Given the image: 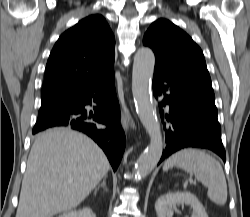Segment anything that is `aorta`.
I'll return each mask as SVG.
<instances>
[{
    "label": "aorta",
    "mask_w": 250,
    "mask_h": 217,
    "mask_svg": "<svg viewBox=\"0 0 250 217\" xmlns=\"http://www.w3.org/2000/svg\"><path fill=\"white\" fill-rule=\"evenodd\" d=\"M155 66V55L150 48L138 49L132 71V93L141 123L150 137V144L135 165L138 180L146 177L158 164L163 152V140L156 108L150 90Z\"/></svg>",
    "instance_id": "obj_1"
}]
</instances>
